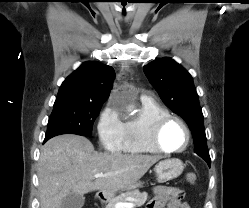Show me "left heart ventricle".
I'll use <instances>...</instances> for the list:
<instances>
[{
  "mask_svg": "<svg viewBox=\"0 0 249 208\" xmlns=\"http://www.w3.org/2000/svg\"><path fill=\"white\" fill-rule=\"evenodd\" d=\"M185 141V130L176 121L168 123L161 133V144L166 149H179Z\"/></svg>",
  "mask_w": 249,
  "mask_h": 208,
  "instance_id": "1",
  "label": "left heart ventricle"
}]
</instances>
